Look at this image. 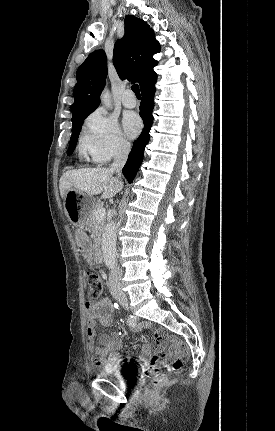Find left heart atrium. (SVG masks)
<instances>
[{
  "mask_svg": "<svg viewBox=\"0 0 275 431\" xmlns=\"http://www.w3.org/2000/svg\"><path fill=\"white\" fill-rule=\"evenodd\" d=\"M123 125L126 134L131 138L136 137L142 129V121L135 113L126 114L123 119Z\"/></svg>",
  "mask_w": 275,
  "mask_h": 431,
  "instance_id": "obj_1",
  "label": "left heart atrium"
}]
</instances>
